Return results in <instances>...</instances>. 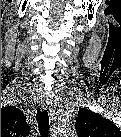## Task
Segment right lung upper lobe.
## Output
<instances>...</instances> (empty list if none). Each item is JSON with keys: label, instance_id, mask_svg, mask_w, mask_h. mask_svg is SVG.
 I'll list each match as a JSON object with an SVG mask.
<instances>
[{"label": "right lung upper lobe", "instance_id": "cb5924a9", "mask_svg": "<svg viewBox=\"0 0 121 137\" xmlns=\"http://www.w3.org/2000/svg\"><path fill=\"white\" fill-rule=\"evenodd\" d=\"M27 132L28 126L21 110L11 106L1 109V135H26Z\"/></svg>", "mask_w": 121, "mask_h": 137}]
</instances>
